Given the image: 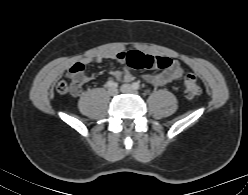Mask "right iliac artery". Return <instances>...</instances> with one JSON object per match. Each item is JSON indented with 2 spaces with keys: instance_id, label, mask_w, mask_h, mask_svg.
<instances>
[{
  "instance_id": "obj_1",
  "label": "right iliac artery",
  "mask_w": 248,
  "mask_h": 195,
  "mask_svg": "<svg viewBox=\"0 0 248 195\" xmlns=\"http://www.w3.org/2000/svg\"><path fill=\"white\" fill-rule=\"evenodd\" d=\"M107 86L108 87H116L117 86V83L114 82V81H112V80H110V81L107 82Z\"/></svg>"
}]
</instances>
